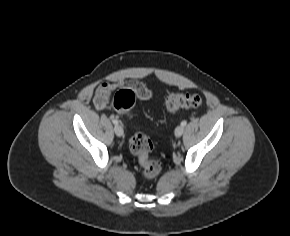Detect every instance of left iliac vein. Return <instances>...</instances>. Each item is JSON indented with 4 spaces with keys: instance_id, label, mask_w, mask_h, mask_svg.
<instances>
[{
    "instance_id": "1",
    "label": "left iliac vein",
    "mask_w": 290,
    "mask_h": 236,
    "mask_svg": "<svg viewBox=\"0 0 290 236\" xmlns=\"http://www.w3.org/2000/svg\"><path fill=\"white\" fill-rule=\"evenodd\" d=\"M183 132H184V126L179 125L175 129V136L180 137L183 134Z\"/></svg>"
}]
</instances>
